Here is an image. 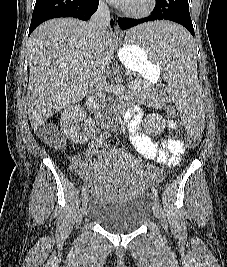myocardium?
Listing matches in <instances>:
<instances>
[{
  "label": "myocardium",
  "mask_w": 227,
  "mask_h": 267,
  "mask_svg": "<svg viewBox=\"0 0 227 267\" xmlns=\"http://www.w3.org/2000/svg\"><path fill=\"white\" fill-rule=\"evenodd\" d=\"M157 0H145L144 3L139 6H126L123 8V12L134 18H141L151 14L156 7Z\"/></svg>",
  "instance_id": "obj_1"
}]
</instances>
